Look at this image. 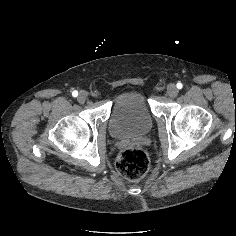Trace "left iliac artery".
Wrapping results in <instances>:
<instances>
[{
	"instance_id": "44dca946",
	"label": "left iliac artery",
	"mask_w": 236,
	"mask_h": 236,
	"mask_svg": "<svg viewBox=\"0 0 236 236\" xmlns=\"http://www.w3.org/2000/svg\"><path fill=\"white\" fill-rule=\"evenodd\" d=\"M176 86H177V88H178V89H182V88H183V84H182V83H180V82H179V83H177V85H176Z\"/></svg>"
}]
</instances>
